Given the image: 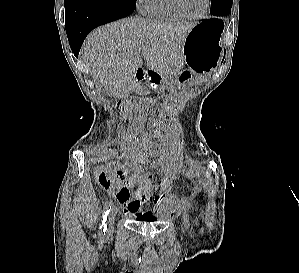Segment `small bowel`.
Instances as JSON below:
<instances>
[{
    "label": "small bowel",
    "instance_id": "obj_1",
    "mask_svg": "<svg viewBox=\"0 0 299 273\" xmlns=\"http://www.w3.org/2000/svg\"><path fill=\"white\" fill-rule=\"evenodd\" d=\"M132 140L134 137L129 135L127 141ZM149 164L155 170L160 168L152 160H149ZM99 183L123 206L128 216H134L141 221H153L156 210L173 211L177 205V197L167 194L162 183L153 185L152 178L133 176L128 170L109 175L108 179L100 178ZM130 187H134L137 192L132 193Z\"/></svg>",
    "mask_w": 299,
    "mask_h": 273
}]
</instances>
